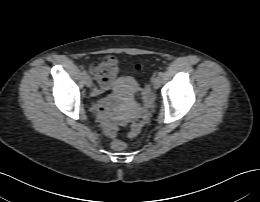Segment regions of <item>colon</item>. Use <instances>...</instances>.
<instances>
[{"label":"colon","instance_id":"obj_1","mask_svg":"<svg viewBox=\"0 0 260 202\" xmlns=\"http://www.w3.org/2000/svg\"><path fill=\"white\" fill-rule=\"evenodd\" d=\"M118 70V63L115 57L108 56L101 62L92 66L91 72L100 83H108L113 80ZM139 100H143V94L140 89L137 94ZM141 130V124H134L128 134L129 138L136 137ZM112 148L114 151L123 152L127 150V144L121 140H114L112 142Z\"/></svg>","mask_w":260,"mask_h":202}]
</instances>
